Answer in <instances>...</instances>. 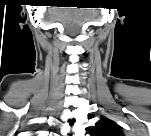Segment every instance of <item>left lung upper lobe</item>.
Here are the masks:
<instances>
[{
    "label": "left lung upper lobe",
    "instance_id": "left-lung-upper-lobe-1",
    "mask_svg": "<svg viewBox=\"0 0 151 136\" xmlns=\"http://www.w3.org/2000/svg\"><path fill=\"white\" fill-rule=\"evenodd\" d=\"M91 136H123L121 127L114 121L101 117L90 131Z\"/></svg>",
    "mask_w": 151,
    "mask_h": 136
}]
</instances>
